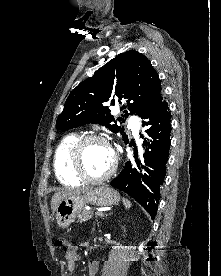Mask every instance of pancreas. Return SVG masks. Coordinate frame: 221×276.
<instances>
[{
  "mask_svg": "<svg viewBox=\"0 0 221 276\" xmlns=\"http://www.w3.org/2000/svg\"><path fill=\"white\" fill-rule=\"evenodd\" d=\"M92 217L93 216L90 211H84L81 215L78 216V220H80V222H85L90 220Z\"/></svg>",
  "mask_w": 221,
  "mask_h": 276,
  "instance_id": "1",
  "label": "pancreas"
}]
</instances>
